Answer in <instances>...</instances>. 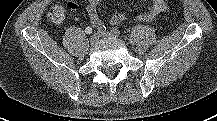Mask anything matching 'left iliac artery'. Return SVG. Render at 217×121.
I'll return each mask as SVG.
<instances>
[{"mask_svg":"<svg viewBox=\"0 0 217 121\" xmlns=\"http://www.w3.org/2000/svg\"><path fill=\"white\" fill-rule=\"evenodd\" d=\"M111 32L113 33V34H115L116 36H118V35H120V30L118 29V28H112L111 29Z\"/></svg>","mask_w":217,"mask_h":121,"instance_id":"44dca946","label":"left iliac artery"}]
</instances>
